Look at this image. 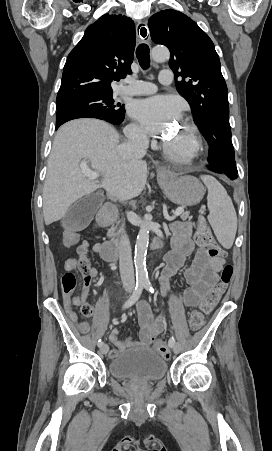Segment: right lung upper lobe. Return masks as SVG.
Returning a JSON list of instances; mask_svg holds the SVG:
<instances>
[{
    "label": "right lung upper lobe",
    "instance_id": "cb5924a9",
    "mask_svg": "<svg viewBox=\"0 0 272 451\" xmlns=\"http://www.w3.org/2000/svg\"><path fill=\"white\" fill-rule=\"evenodd\" d=\"M135 43L132 19L100 17L68 55L57 99L112 94V80L132 73Z\"/></svg>",
    "mask_w": 272,
    "mask_h": 451
}]
</instances>
